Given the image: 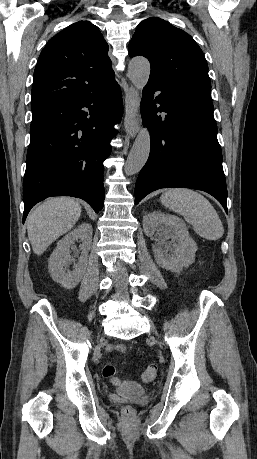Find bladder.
Wrapping results in <instances>:
<instances>
[{
	"label": "bladder",
	"mask_w": 257,
	"mask_h": 459,
	"mask_svg": "<svg viewBox=\"0 0 257 459\" xmlns=\"http://www.w3.org/2000/svg\"><path fill=\"white\" fill-rule=\"evenodd\" d=\"M117 394L129 397H138L145 394L146 389L134 382H124L116 390Z\"/></svg>",
	"instance_id": "31cf9c89"
}]
</instances>
